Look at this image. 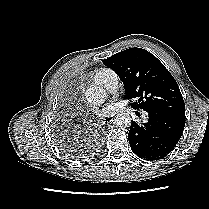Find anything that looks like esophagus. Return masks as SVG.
<instances>
[{
    "label": "esophagus",
    "instance_id": "esophagus-1",
    "mask_svg": "<svg viewBox=\"0 0 209 209\" xmlns=\"http://www.w3.org/2000/svg\"><path fill=\"white\" fill-rule=\"evenodd\" d=\"M114 121V118H109V119H107L106 121H105V124L106 123H111V122H113Z\"/></svg>",
    "mask_w": 209,
    "mask_h": 209
}]
</instances>
